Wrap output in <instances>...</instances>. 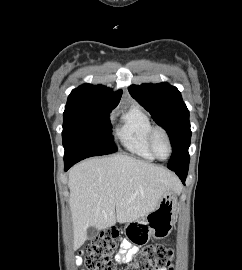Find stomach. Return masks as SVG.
<instances>
[{
	"label": "stomach",
	"mask_w": 242,
	"mask_h": 270,
	"mask_svg": "<svg viewBox=\"0 0 242 270\" xmlns=\"http://www.w3.org/2000/svg\"><path fill=\"white\" fill-rule=\"evenodd\" d=\"M177 217V204L171 191L166 192L157 207L125 226V234L129 241L136 245L148 243L151 237L166 238L172 231Z\"/></svg>",
	"instance_id": "stomach-1"
}]
</instances>
